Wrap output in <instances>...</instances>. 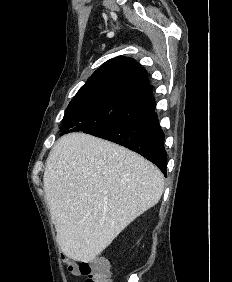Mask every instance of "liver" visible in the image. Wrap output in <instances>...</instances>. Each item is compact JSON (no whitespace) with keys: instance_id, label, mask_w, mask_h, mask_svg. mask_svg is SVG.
<instances>
[{"instance_id":"1","label":"liver","mask_w":232,"mask_h":282,"mask_svg":"<svg viewBox=\"0 0 232 282\" xmlns=\"http://www.w3.org/2000/svg\"><path fill=\"white\" fill-rule=\"evenodd\" d=\"M43 184L57 243L68 258L81 262L96 259L164 191V177L154 164L84 133L57 140Z\"/></svg>"}]
</instances>
